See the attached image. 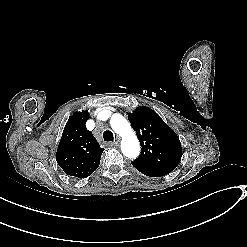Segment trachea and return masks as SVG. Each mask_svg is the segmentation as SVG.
Instances as JSON below:
<instances>
[{"mask_svg":"<svg viewBox=\"0 0 247 247\" xmlns=\"http://www.w3.org/2000/svg\"><path fill=\"white\" fill-rule=\"evenodd\" d=\"M103 139L106 142H113L114 140L113 133L110 130H105L103 133Z\"/></svg>","mask_w":247,"mask_h":247,"instance_id":"trachea-1","label":"trachea"}]
</instances>
